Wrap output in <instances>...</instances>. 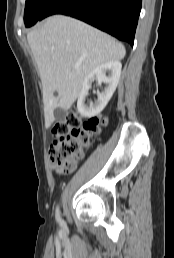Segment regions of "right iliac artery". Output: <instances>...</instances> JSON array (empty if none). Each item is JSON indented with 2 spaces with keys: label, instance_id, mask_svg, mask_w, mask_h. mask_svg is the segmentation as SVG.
I'll list each match as a JSON object with an SVG mask.
<instances>
[{
  "label": "right iliac artery",
  "instance_id": "82829eb1",
  "mask_svg": "<svg viewBox=\"0 0 174 258\" xmlns=\"http://www.w3.org/2000/svg\"><path fill=\"white\" fill-rule=\"evenodd\" d=\"M56 218L59 222H62L61 218H60V215H59V208L57 207L56 209Z\"/></svg>",
  "mask_w": 174,
  "mask_h": 258
}]
</instances>
